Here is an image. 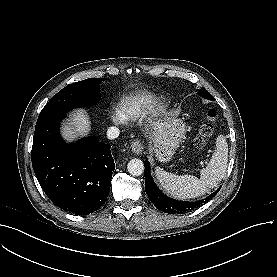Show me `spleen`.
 <instances>
[{"instance_id":"spleen-1","label":"spleen","mask_w":277,"mask_h":277,"mask_svg":"<svg viewBox=\"0 0 277 277\" xmlns=\"http://www.w3.org/2000/svg\"><path fill=\"white\" fill-rule=\"evenodd\" d=\"M228 162V144L224 136H218L216 150L206 168L200 171V178L193 175H175L156 167L155 176L161 187L179 199L195 198L209 192L224 178Z\"/></svg>"}]
</instances>
